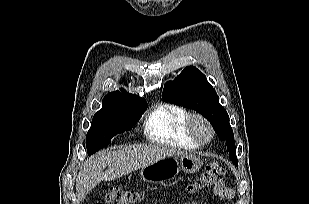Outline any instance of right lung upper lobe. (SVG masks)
Here are the masks:
<instances>
[{
    "label": "right lung upper lobe",
    "instance_id": "1",
    "mask_svg": "<svg viewBox=\"0 0 309 204\" xmlns=\"http://www.w3.org/2000/svg\"><path fill=\"white\" fill-rule=\"evenodd\" d=\"M124 100H144V98L138 97L135 94H130L122 89V93L120 91H115L107 94L102 101V105H108Z\"/></svg>",
    "mask_w": 309,
    "mask_h": 204
}]
</instances>
